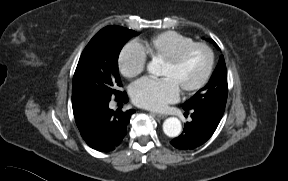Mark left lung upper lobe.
<instances>
[{"label": "left lung upper lobe", "mask_w": 288, "mask_h": 181, "mask_svg": "<svg viewBox=\"0 0 288 181\" xmlns=\"http://www.w3.org/2000/svg\"><path fill=\"white\" fill-rule=\"evenodd\" d=\"M209 41L216 45L213 40L209 39ZM227 94V71L224 57L221 55L218 65L208 84L186 101L183 104V109H205L222 117L226 106Z\"/></svg>", "instance_id": "left-lung-upper-lobe-1"}]
</instances>
